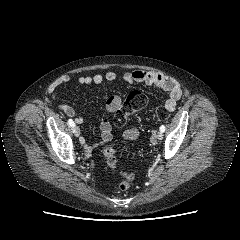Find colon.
<instances>
[{"mask_svg": "<svg viewBox=\"0 0 240 240\" xmlns=\"http://www.w3.org/2000/svg\"><path fill=\"white\" fill-rule=\"evenodd\" d=\"M147 104L146 95L139 90H134L129 93L123 105L115 112L114 123L116 126L121 127L126 123L127 117L130 113L143 109ZM155 117L159 120H165L169 117V111L165 106H159L155 109ZM105 160L109 167L115 168L117 163L116 151L113 147L108 146L103 151ZM122 180L119 188L123 191L128 190L134 179L135 174L130 171L121 173Z\"/></svg>", "mask_w": 240, "mask_h": 240, "instance_id": "obj_1", "label": "colon"}]
</instances>
